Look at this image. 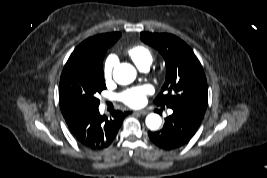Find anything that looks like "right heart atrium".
<instances>
[{"instance_id":"right-heart-atrium-1","label":"right heart atrium","mask_w":267,"mask_h":178,"mask_svg":"<svg viewBox=\"0 0 267 178\" xmlns=\"http://www.w3.org/2000/svg\"><path fill=\"white\" fill-rule=\"evenodd\" d=\"M116 58L113 55L108 56L103 63V76L106 81L111 80Z\"/></svg>"}]
</instances>
